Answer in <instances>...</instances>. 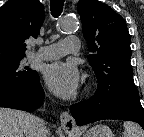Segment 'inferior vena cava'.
<instances>
[{
  "instance_id": "inferior-vena-cava-1",
  "label": "inferior vena cava",
  "mask_w": 144,
  "mask_h": 137,
  "mask_svg": "<svg viewBox=\"0 0 144 137\" xmlns=\"http://www.w3.org/2000/svg\"><path fill=\"white\" fill-rule=\"evenodd\" d=\"M47 135H48V130L46 129V127H43L42 137H47Z\"/></svg>"
}]
</instances>
